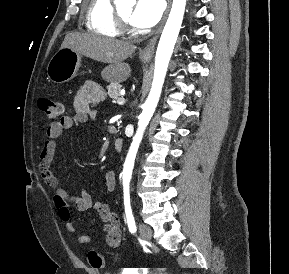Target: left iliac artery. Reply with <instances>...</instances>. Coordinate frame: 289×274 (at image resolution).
Instances as JSON below:
<instances>
[{
    "mask_svg": "<svg viewBox=\"0 0 289 274\" xmlns=\"http://www.w3.org/2000/svg\"><path fill=\"white\" fill-rule=\"evenodd\" d=\"M124 207L129 231L134 234L136 232V224L131 209L130 194L128 188H124Z\"/></svg>",
    "mask_w": 289,
    "mask_h": 274,
    "instance_id": "left-iliac-artery-1",
    "label": "left iliac artery"
}]
</instances>
